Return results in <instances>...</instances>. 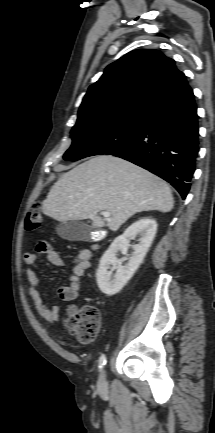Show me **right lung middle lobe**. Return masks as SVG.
<instances>
[{"instance_id": "1", "label": "right lung middle lobe", "mask_w": 215, "mask_h": 433, "mask_svg": "<svg viewBox=\"0 0 215 433\" xmlns=\"http://www.w3.org/2000/svg\"><path fill=\"white\" fill-rule=\"evenodd\" d=\"M143 118L144 115H123L76 123L71 131L73 143L63 158L77 161L121 148L138 135Z\"/></svg>"}]
</instances>
